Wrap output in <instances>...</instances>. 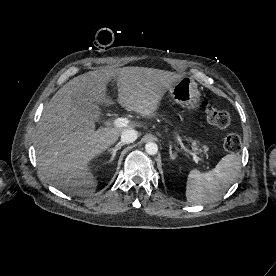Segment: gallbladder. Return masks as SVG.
Instances as JSON below:
<instances>
[{
  "instance_id": "obj_1",
  "label": "gallbladder",
  "mask_w": 276,
  "mask_h": 276,
  "mask_svg": "<svg viewBox=\"0 0 276 276\" xmlns=\"http://www.w3.org/2000/svg\"><path fill=\"white\" fill-rule=\"evenodd\" d=\"M72 100L80 109L89 114L90 117L98 120L101 115V111L95 102L88 101L85 98L79 96H72Z\"/></svg>"
}]
</instances>
